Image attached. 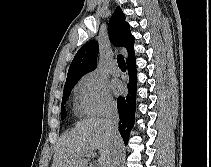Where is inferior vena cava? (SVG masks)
Masks as SVG:
<instances>
[{"instance_id": "602c4592", "label": "inferior vena cava", "mask_w": 211, "mask_h": 167, "mask_svg": "<svg viewBox=\"0 0 211 167\" xmlns=\"http://www.w3.org/2000/svg\"><path fill=\"white\" fill-rule=\"evenodd\" d=\"M104 120H105V125L107 127V130L111 134L113 140L116 142L119 138V133H118L119 116H118L116 105L114 104L108 105ZM120 155H121V152L118 149L115 154L113 163L111 165L112 167H119Z\"/></svg>"}]
</instances>
